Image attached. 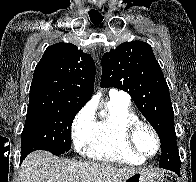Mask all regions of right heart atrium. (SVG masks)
<instances>
[{
    "mask_svg": "<svg viewBox=\"0 0 196 182\" xmlns=\"http://www.w3.org/2000/svg\"><path fill=\"white\" fill-rule=\"evenodd\" d=\"M95 127L94 108L91 105L83 107L72 122V139L78 152H83L89 146Z\"/></svg>",
    "mask_w": 196,
    "mask_h": 182,
    "instance_id": "obj_1",
    "label": "right heart atrium"
}]
</instances>
